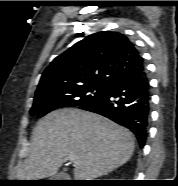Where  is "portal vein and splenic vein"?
Segmentation results:
<instances>
[{"mask_svg": "<svg viewBox=\"0 0 178 186\" xmlns=\"http://www.w3.org/2000/svg\"><path fill=\"white\" fill-rule=\"evenodd\" d=\"M67 159L70 160V161H74L73 157H68Z\"/></svg>", "mask_w": 178, "mask_h": 186, "instance_id": "1", "label": "portal vein and splenic vein"}]
</instances>
